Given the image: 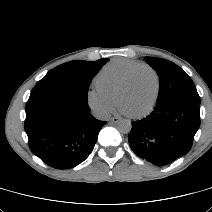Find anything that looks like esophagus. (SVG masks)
<instances>
[{"label":"esophagus","mask_w":212,"mask_h":212,"mask_svg":"<svg viewBox=\"0 0 212 212\" xmlns=\"http://www.w3.org/2000/svg\"><path fill=\"white\" fill-rule=\"evenodd\" d=\"M120 121V118L119 117H113V118H111V122L112 123H118Z\"/></svg>","instance_id":"obj_1"}]
</instances>
